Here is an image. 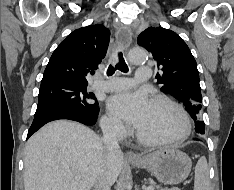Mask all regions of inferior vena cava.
<instances>
[{
  "mask_svg": "<svg viewBox=\"0 0 234 190\" xmlns=\"http://www.w3.org/2000/svg\"><path fill=\"white\" fill-rule=\"evenodd\" d=\"M103 143L109 151L119 152L120 147L117 140V124L106 123L102 125ZM93 190H111L110 184L104 174H101L95 181Z\"/></svg>",
  "mask_w": 234,
  "mask_h": 190,
  "instance_id": "obj_1",
  "label": "inferior vena cava"
}]
</instances>
